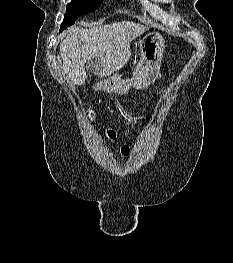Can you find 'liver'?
Here are the masks:
<instances>
[{
  "mask_svg": "<svg viewBox=\"0 0 233 263\" xmlns=\"http://www.w3.org/2000/svg\"><path fill=\"white\" fill-rule=\"evenodd\" d=\"M146 31V27L122 21L84 29L72 27L60 43L63 71L75 86L87 79L85 64L95 59L94 71L106 77L123 67L130 56V43Z\"/></svg>",
  "mask_w": 233,
  "mask_h": 263,
  "instance_id": "liver-1",
  "label": "liver"
}]
</instances>
